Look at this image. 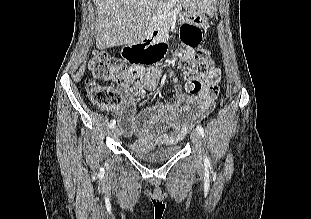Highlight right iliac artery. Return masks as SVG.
Here are the masks:
<instances>
[{
  "mask_svg": "<svg viewBox=\"0 0 311 219\" xmlns=\"http://www.w3.org/2000/svg\"><path fill=\"white\" fill-rule=\"evenodd\" d=\"M115 124H116V121L113 119L110 121L109 127L113 128L115 126Z\"/></svg>",
  "mask_w": 311,
  "mask_h": 219,
  "instance_id": "obj_1",
  "label": "right iliac artery"
}]
</instances>
